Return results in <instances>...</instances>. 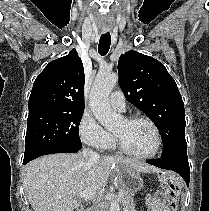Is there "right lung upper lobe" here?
I'll list each match as a JSON object with an SVG mask.
<instances>
[{"mask_svg":"<svg viewBox=\"0 0 209 211\" xmlns=\"http://www.w3.org/2000/svg\"><path fill=\"white\" fill-rule=\"evenodd\" d=\"M84 111V69L75 49L51 61L39 74L29 97V114Z\"/></svg>","mask_w":209,"mask_h":211,"instance_id":"cb5924a9","label":"right lung upper lobe"}]
</instances>
